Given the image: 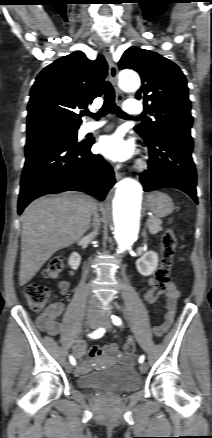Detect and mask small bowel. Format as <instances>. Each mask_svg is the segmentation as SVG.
Masks as SVG:
<instances>
[{"instance_id":"c3829d8e","label":"small bowel","mask_w":212,"mask_h":438,"mask_svg":"<svg viewBox=\"0 0 212 438\" xmlns=\"http://www.w3.org/2000/svg\"><path fill=\"white\" fill-rule=\"evenodd\" d=\"M150 285L155 284V279L150 278L148 280ZM59 288L62 294H66L68 290V283L66 281H61L59 284ZM180 297V293L177 290L176 286L173 283H169L166 291V305H165V315L163 322L154 328V332L156 335H163L166 333L171 324L173 323L177 302ZM63 312V305L61 303H53L51 304L46 311L38 318V324L40 328L47 332L49 335L55 336L60 331V322L59 317ZM87 345L85 341H79L77 343V347L75 350V356L77 358H82L86 353ZM90 358H98L102 355H112L116 358H119L126 362H131L132 358L124 357L118 350V345L115 343H109L104 347L94 346L89 351ZM92 361H84L77 369L76 375H83L88 373L92 368Z\"/></svg>"}]
</instances>
